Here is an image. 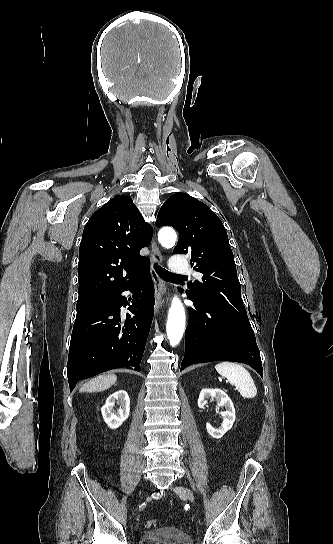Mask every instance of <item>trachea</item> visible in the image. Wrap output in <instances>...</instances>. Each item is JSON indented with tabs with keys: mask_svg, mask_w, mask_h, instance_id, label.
<instances>
[{
	"mask_svg": "<svg viewBox=\"0 0 333 544\" xmlns=\"http://www.w3.org/2000/svg\"><path fill=\"white\" fill-rule=\"evenodd\" d=\"M154 267H155L158 275L164 280H171V279H175V278H185L186 277V276L171 273V272L167 271L166 269L160 267L157 263L154 264Z\"/></svg>",
	"mask_w": 333,
	"mask_h": 544,
	"instance_id": "obj_1",
	"label": "trachea"
}]
</instances>
